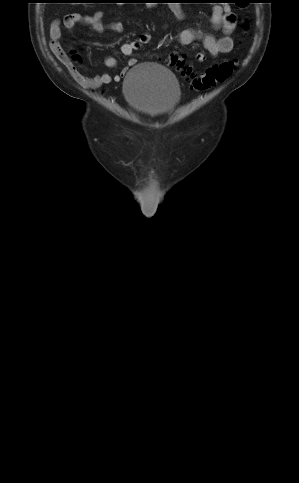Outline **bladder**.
<instances>
[{
  "mask_svg": "<svg viewBox=\"0 0 299 483\" xmlns=\"http://www.w3.org/2000/svg\"><path fill=\"white\" fill-rule=\"evenodd\" d=\"M123 94L132 108L148 116L167 113L181 99L174 74L151 62L141 63L128 71L123 81Z\"/></svg>",
  "mask_w": 299,
  "mask_h": 483,
  "instance_id": "31cf9c89",
  "label": "bladder"
}]
</instances>
